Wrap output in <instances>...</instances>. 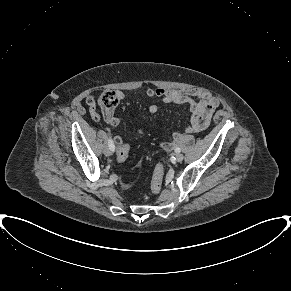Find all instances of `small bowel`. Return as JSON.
Listing matches in <instances>:
<instances>
[{
  "label": "small bowel",
  "instance_id": "obj_1",
  "mask_svg": "<svg viewBox=\"0 0 291 291\" xmlns=\"http://www.w3.org/2000/svg\"><path fill=\"white\" fill-rule=\"evenodd\" d=\"M145 93L148 97L161 98L165 103L188 104L192 112V117L189 126L186 128L187 133H198L205 130L209 126L213 112L219 105L217 98L201 90L147 88ZM118 96L120 99L124 98L122 92H118ZM86 104L88 105L91 117L94 120H98L99 114L96 111L93 96H88L86 98ZM158 110L159 107L156 104H151L149 106V112L152 114L157 113ZM103 117L110 128L116 129L119 125V119L115 116L113 111H104ZM182 136L183 133L181 131H176L173 133V140L170 142H163L161 146L164 149L170 150L177 145ZM114 141L118 148L125 144L120 136H115ZM125 186L127 187V185Z\"/></svg>",
  "mask_w": 291,
  "mask_h": 291
}]
</instances>
